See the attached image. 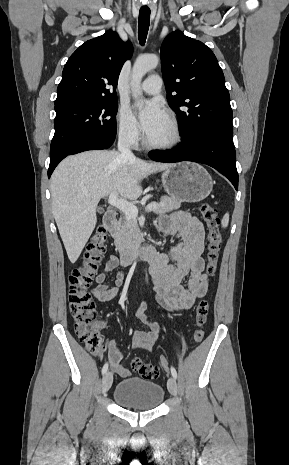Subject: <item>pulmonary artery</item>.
<instances>
[{
	"label": "pulmonary artery",
	"mask_w": 289,
	"mask_h": 465,
	"mask_svg": "<svg viewBox=\"0 0 289 465\" xmlns=\"http://www.w3.org/2000/svg\"><path fill=\"white\" fill-rule=\"evenodd\" d=\"M162 79L159 75H150L141 85V90L147 94H157L161 91Z\"/></svg>",
	"instance_id": "e3ab8cb5"
}]
</instances>
